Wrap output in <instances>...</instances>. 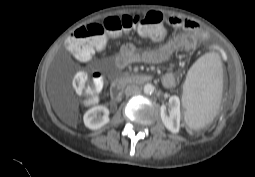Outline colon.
I'll return each mask as SVG.
<instances>
[{
	"label": "colon",
	"instance_id": "colon-1",
	"mask_svg": "<svg viewBox=\"0 0 255 177\" xmlns=\"http://www.w3.org/2000/svg\"><path fill=\"white\" fill-rule=\"evenodd\" d=\"M164 18L157 11H148L141 15L109 17L102 22L90 23L76 30L67 40L66 46L71 55L79 60H87L102 50L108 37H118L123 33L137 31L149 38H159L163 32ZM104 85V76L100 72L88 74L79 71L73 79L75 91L86 101L94 102Z\"/></svg>",
	"mask_w": 255,
	"mask_h": 177
}]
</instances>
